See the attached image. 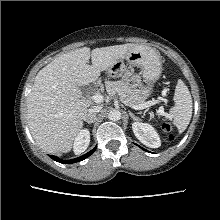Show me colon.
Listing matches in <instances>:
<instances>
[{
    "mask_svg": "<svg viewBox=\"0 0 220 220\" xmlns=\"http://www.w3.org/2000/svg\"><path fill=\"white\" fill-rule=\"evenodd\" d=\"M163 128L165 129L166 132L169 133L168 137L170 140H172L174 138L173 134H172V127L168 122H164L163 123Z\"/></svg>",
    "mask_w": 220,
    "mask_h": 220,
    "instance_id": "colon-1",
    "label": "colon"
}]
</instances>
